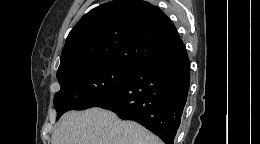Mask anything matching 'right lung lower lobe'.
Here are the masks:
<instances>
[{
	"instance_id": "right-lung-lower-lobe-1",
	"label": "right lung lower lobe",
	"mask_w": 260,
	"mask_h": 144,
	"mask_svg": "<svg viewBox=\"0 0 260 144\" xmlns=\"http://www.w3.org/2000/svg\"><path fill=\"white\" fill-rule=\"evenodd\" d=\"M190 61L185 45L146 60L135 67L127 81L96 107L134 120L165 144H173L186 104Z\"/></svg>"
}]
</instances>
